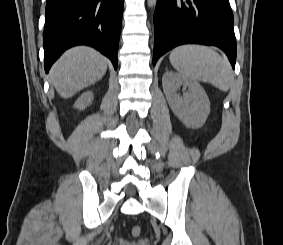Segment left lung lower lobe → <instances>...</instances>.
<instances>
[{
	"label": "left lung lower lobe",
	"instance_id": "1",
	"mask_svg": "<svg viewBox=\"0 0 283 245\" xmlns=\"http://www.w3.org/2000/svg\"><path fill=\"white\" fill-rule=\"evenodd\" d=\"M233 25L229 0H157L153 65L170 49L195 43L219 47L235 68Z\"/></svg>",
	"mask_w": 283,
	"mask_h": 245
}]
</instances>
